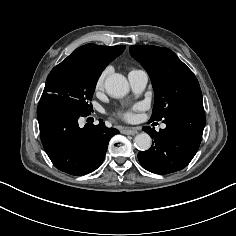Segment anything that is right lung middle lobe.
Listing matches in <instances>:
<instances>
[{
    "label": "right lung middle lobe",
    "mask_w": 236,
    "mask_h": 236,
    "mask_svg": "<svg viewBox=\"0 0 236 236\" xmlns=\"http://www.w3.org/2000/svg\"><path fill=\"white\" fill-rule=\"evenodd\" d=\"M106 65L86 64L64 59L47 77L42 95L58 94L67 98L81 112H90L97 79Z\"/></svg>",
    "instance_id": "dd1d6c3e"
}]
</instances>
